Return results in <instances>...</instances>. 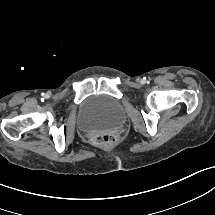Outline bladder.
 <instances>
[{"label":"bladder","instance_id":"1","mask_svg":"<svg viewBox=\"0 0 215 215\" xmlns=\"http://www.w3.org/2000/svg\"><path fill=\"white\" fill-rule=\"evenodd\" d=\"M125 121V110L119 100L107 96H92L79 107L76 125L84 133L117 131Z\"/></svg>","mask_w":215,"mask_h":215}]
</instances>
